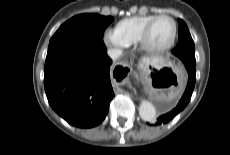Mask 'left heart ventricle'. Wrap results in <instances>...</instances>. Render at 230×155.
Instances as JSON below:
<instances>
[{"instance_id": "obj_1", "label": "left heart ventricle", "mask_w": 230, "mask_h": 155, "mask_svg": "<svg viewBox=\"0 0 230 155\" xmlns=\"http://www.w3.org/2000/svg\"><path fill=\"white\" fill-rule=\"evenodd\" d=\"M173 23L167 18L156 21L150 31L149 44L153 47H162L166 45L173 34Z\"/></svg>"}]
</instances>
